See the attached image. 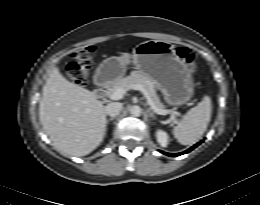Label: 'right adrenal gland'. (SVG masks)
<instances>
[{"label": "right adrenal gland", "mask_w": 260, "mask_h": 205, "mask_svg": "<svg viewBox=\"0 0 260 205\" xmlns=\"http://www.w3.org/2000/svg\"><path fill=\"white\" fill-rule=\"evenodd\" d=\"M114 119H115L114 117H111V118L107 119V120H106V126L108 125V122H109V121H112V120H114Z\"/></svg>", "instance_id": "2a0ac1e0"}]
</instances>
